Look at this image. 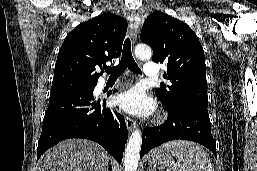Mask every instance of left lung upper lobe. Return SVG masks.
Listing matches in <instances>:
<instances>
[{
    "instance_id": "1",
    "label": "left lung upper lobe",
    "mask_w": 257,
    "mask_h": 171,
    "mask_svg": "<svg viewBox=\"0 0 257 171\" xmlns=\"http://www.w3.org/2000/svg\"><path fill=\"white\" fill-rule=\"evenodd\" d=\"M141 41L153 49V61L167 63L164 84L155 90L165 105L193 102L206 105V65L204 51L190 27L162 12H154L143 24Z\"/></svg>"
}]
</instances>
